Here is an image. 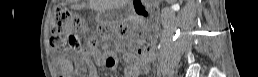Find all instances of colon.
Listing matches in <instances>:
<instances>
[{
  "instance_id": "colon-1",
  "label": "colon",
  "mask_w": 258,
  "mask_h": 77,
  "mask_svg": "<svg viewBox=\"0 0 258 77\" xmlns=\"http://www.w3.org/2000/svg\"><path fill=\"white\" fill-rule=\"evenodd\" d=\"M51 34L56 38L60 48L64 50H78L85 43L88 46H95L97 40L95 38H86L87 26L82 19L70 12L65 7H57L53 13L51 22ZM100 36H107L110 29L100 27L97 29ZM117 36L121 39L127 38L129 31L127 27L120 26L116 30ZM148 35L143 31L138 34L134 46L139 50H146L148 47Z\"/></svg>"
}]
</instances>
